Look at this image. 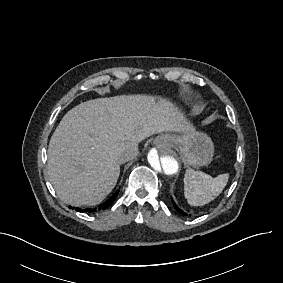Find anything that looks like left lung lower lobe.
<instances>
[{
	"mask_svg": "<svg viewBox=\"0 0 283 283\" xmlns=\"http://www.w3.org/2000/svg\"><path fill=\"white\" fill-rule=\"evenodd\" d=\"M172 203H173V205H174V207H175V209L178 211V212H180V213H182V214H184L178 207H177V205L174 203V201L172 200Z\"/></svg>",
	"mask_w": 283,
	"mask_h": 283,
	"instance_id": "obj_1",
	"label": "left lung lower lobe"
}]
</instances>
